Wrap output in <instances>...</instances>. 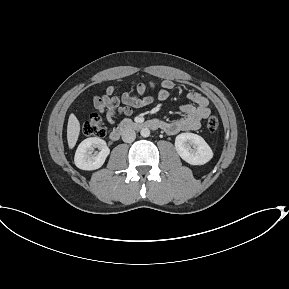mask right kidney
Wrapping results in <instances>:
<instances>
[{
    "label": "right kidney",
    "mask_w": 289,
    "mask_h": 289,
    "mask_svg": "<svg viewBox=\"0 0 289 289\" xmlns=\"http://www.w3.org/2000/svg\"><path fill=\"white\" fill-rule=\"evenodd\" d=\"M94 147H99L101 151L93 154ZM109 153L110 150L106 146L105 141L98 137H90L79 144L75 153L74 162L79 169L96 170L104 164Z\"/></svg>",
    "instance_id": "obj_1"
}]
</instances>
